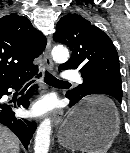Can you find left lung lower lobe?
Segmentation results:
<instances>
[{
	"instance_id": "0a47b994",
	"label": "left lung lower lobe",
	"mask_w": 130,
	"mask_h": 153,
	"mask_svg": "<svg viewBox=\"0 0 130 153\" xmlns=\"http://www.w3.org/2000/svg\"><path fill=\"white\" fill-rule=\"evenodd\" d=\"M90 94H96V93H90ZM88 94V95H90ZM79 100L77 99H70V107H72L74 104H76Z\"/></svg>"
}]
</instances>
